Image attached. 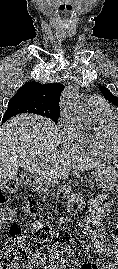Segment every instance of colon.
Listing matches in <instances>:
<instances>
[{
	"label": "colon",
	"mask_w": 118,
	"mask_h": 269,
	"mask_svg": "<svg viewBox=\"0 0 118 269\" xmlns=\"http://www.w3.org/2000/svg\"><path fill=\"white\" fill-rule=\"evenodd\" d=\"M17 184V182H12L0 185V205L7 202ZM27 206L31 212L37 210V203L34 199H29ZM11 230V237L6 240L4 252L0 255V269H20L24 264L29 263L32 256L29 241L20 235V225L13 224Z\"/></svg>",
	"instance_id": "obj_1"
}]
</instances>
